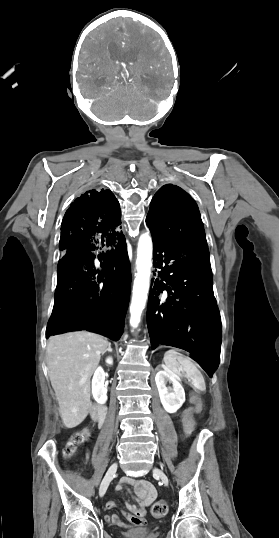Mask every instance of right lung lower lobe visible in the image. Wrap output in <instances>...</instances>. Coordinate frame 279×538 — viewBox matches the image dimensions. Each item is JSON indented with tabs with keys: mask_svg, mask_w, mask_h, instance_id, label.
<instances>
[{
	"mask_svg": "<svg viewBox=\"0 0 279 538\" xmlns=\"http://www.w3.org/2000/svg\"><path fill=\"white\" fill-rule=\"evenodd\" d=\"M59 248L63 257L46 336L96 330L118 340L131 273L119 202L110 190H90L74 200L62 220Z\"/></svg>",
	"mask_w": 279,
	"mask_h": 538,
	"instance_id": "98d812e1",
	"label": "right lung lower lobe"
}]
</instances>
